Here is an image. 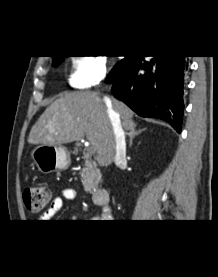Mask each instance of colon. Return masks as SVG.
<instances>
[{
    "label": "colon",
    "mask_w": 218,
    "mask_h": 277,
    "mask_svg": "<svg viewBox=\"0 0 218 277\" xmlns=\"http://www.w3.org/2000/svg\"><path fill=\"white\" fill-rule=\"evenodd\" d=\"M50 197V189L42 185L28 187L23 193L24 204L33 213L42 211L48 204Z\"/></svg>",
    "instance_id": "obj_1"
}]
</instances>
